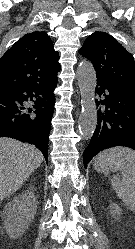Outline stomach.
Listing matches in <instances>:
<instances>
[{"label": "stomach", "mask_w": 135, "mask_h": 249, "mask_svg": "<svg viewBox=\"0 0 135 249\" xmlns=\"http://www.w3.org/2000/svg\"><path fill=\"white\" fill-rule=\"evenodd\" d=\"M94 167L96 170L103 173H109L119 170V167L115 163L110 161L94 162Z\"/></svg>", "instance_id": "obj_1"}]
</instances>
